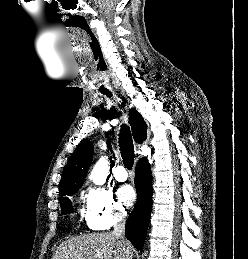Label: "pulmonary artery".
I'll use <instances>...</instances> for the list:
<instances>
[{"mask_svg":"<svg viewBox=\"0 0 248 259\" xmlns=\"http://www.w3.org/2000/svg\"><path fill=\"white\" fill-rule=\"evenodd\" d=\"M128 175L126 169L123 166H117L114 171V178L118 182H123L127 179Z\"/></svg>","mask_w":248,"mask_h":259,"instance_id":"pulmonary-artery-1","label":"pulmonary artery"}]
</instances>
